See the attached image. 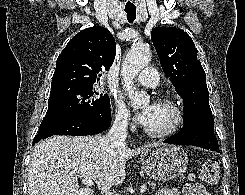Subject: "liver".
<instances>
[{"label":"liver","instance_id":"6515ba94","mask_svg":"<svg viewBox=\"0 0 245 195\" xmlns=\"http://www.w3.org/2000/svg\"><path fill=\"white\" fill-rule=\"evenodd\" d=\"M157 144L132 150L106 136H52L33 149L28 195H94L92 188H79V178L91 179L106 192L125 180L127 160Z\"/></svg>","mask_w":245,"mask_h":195}]
</instances>
